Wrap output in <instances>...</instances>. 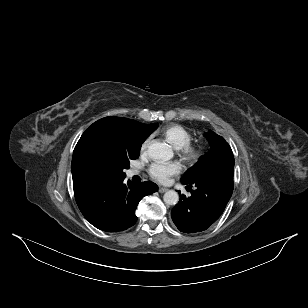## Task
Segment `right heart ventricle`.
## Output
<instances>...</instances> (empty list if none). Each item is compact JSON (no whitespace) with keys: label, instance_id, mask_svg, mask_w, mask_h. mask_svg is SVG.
<instances>
[{"label":"right heart ventricle","instance_id":"1","mask_svg":"<svg viewBox=\"0 0 308 308\" xmlns=\"http://www.w3.org/2000/svg\"><path fill=\"white\" fill-rule=\"evenodd\" d=\"M160 134L175 149H180L192 139L191 132L179 124H170L165 126L161 130Z\"/></svg>","mask_w":308,"mask_h":308}]
</instances>
